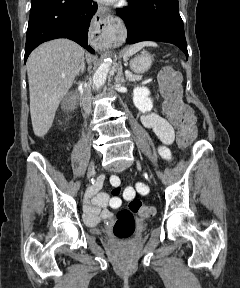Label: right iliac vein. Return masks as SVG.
Segmentation results:
<instances>
[{
    "label": "right iliac vein",
    "instance_id": "right-iliac-vein-1",
    "mask_svg": "<svg viewBox=\"0 0 240 288\" xmlns=\"http://www.w3.org/2000/svg\"><path fill=\"white\" fill-rule=\"evenodd\" d=\"M93 173H94V162L92 161L89 165L88 172H87L88 180L90 179Z\"/></svg>",
    "mask_w": 240,
    "mask_h": 288
}]
</instances>
